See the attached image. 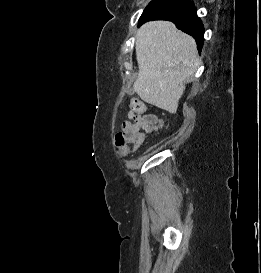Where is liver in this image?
Segmentation results:
<instances>
[{"label":"liver","instance_id":"1","mask_svg":"<svg viewBox=\"0 0 261 273\" xmlns=\"http://www.w3.org/2000/svg\"><path fill=\"white\" fill-rule=\"evenodd\" d=\"M139 67L134 92L151 105L176 113L189 79L201 64L195 40L169 21H150L136 33Z\"/></svg>","mask_w":261,"mask_h":273}]
</instances>
